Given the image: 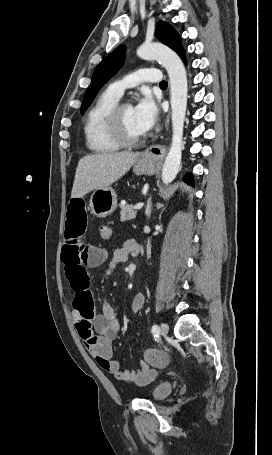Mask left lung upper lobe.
<instances>
[{
    "label": "left lung upper lobe",
    "instance_id": "obj_1",
    "mask_svg": "<svg viewBox=\"0 0 272 455\" xmlns=\"http://www.w3.org/2000/svg\"><path fill=\"white\" fill-rule=\"evenodd\" d=\"M156 36L165 45L173 49L182 58L185 57V51L181 45V39L178 33L164 21H159L156 25ZM125 59V46H119L108 56H106L96 67L91 84L86 90L83 103L81 106V114L93 102L100 88L122 67Z\"/></svg>",
    "mask_w": 272,
    "mask_h": 455
}]
</instances>
